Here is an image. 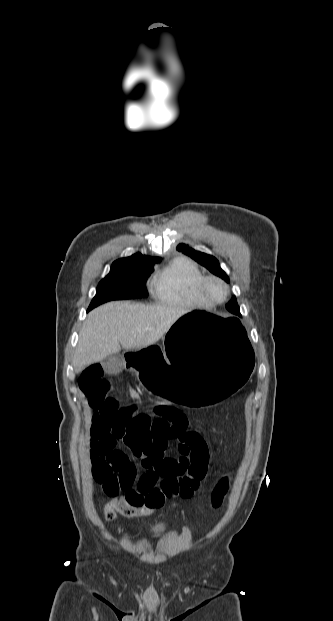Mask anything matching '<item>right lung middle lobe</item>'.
<instances>
[{"mask_svg":"<svg viewBox=\"0 0 333 621\" xmlns=\"http://www.w3.org/2000/svg\"><path fill=\"white\" fill-rule=\"evenodd\" d=\"M153 267L113 263L110 273L99 283L88 311L110 300L146 298L145 283Z\"/></svg>","mask_w":333,"mask_h":621,"instance_id":"1","label":"right lung middle lobe"}]
</instances>
